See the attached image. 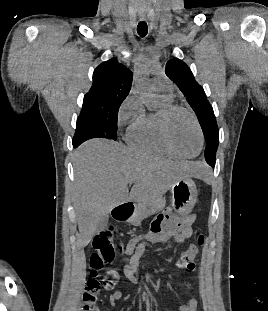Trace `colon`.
Segmentation results:
<instances>
[{"label":"colon","instance_id":"obj_1","mask_svg":"<svg viewBox=\"0 0 268 311\" xmlns=\"http://www.w3.org/2000/svg\"><path fill=\"white\" fill-rule=\"evenodd\" d=\"M113 228L101 231L93 240L94 251L90 255L91 277L87 280L83 293L82 311H99L97 296L101 286L112 289L118 280L115 271L109 272L102 280L97 278V270L105 265L113 263L117 253V247L112 241ZM204 243V237L200 235L196 243H193L184 251L177 261L178 267L185 270L194 268L195 260L199 253V246ZM121 250V248H119Z\"/></svg>","mask_w":268,"mask_h":311}]
</instances>
